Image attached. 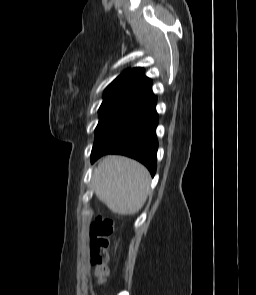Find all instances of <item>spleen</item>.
I'll list each match as a JSON object with an SVG mask.
<instances>
[{
  "label": "spleen",
  "mask_w": 256,
  "mask_h": 295,
  "mask_svg": "<svg viewBox=\"0 0 256 295\" xmlns=\"http://www.w3.org/2000/svg\"><path fill=\"white\" fill-rule=\"evenodd\" d=\"M149 184L147 169L123 156L103 158L92 179L98 199L119 215H132L143 207Z\"/></svg>",
  "instance_id": "3e777b00"
}]
</instances>
